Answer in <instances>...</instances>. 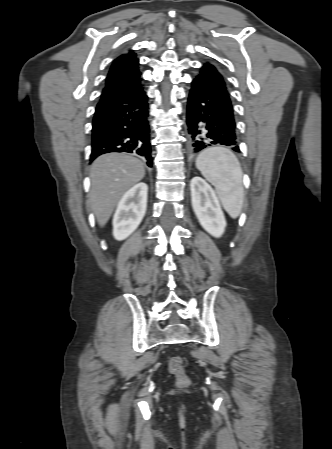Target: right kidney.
I'll use <instances>...</instances> for the list:
<instances>
[{
    "instance_id": "obj_1",
    "label": "right kidney",
    "mask_w": 332,
    "mask_h": 449,
    "mask_svg": "<svg viewBox=\"0 0 332 449\" xmlns=\"http://www.w3.org/2000/svg\"><path fill=\"white\" fill-rule=\"evenodd\" d=\"M148 186L140 182L130 188L120 199L113 217V236L124 240L139 226L147 209Z\"/></svg>"
}]
</instances>
